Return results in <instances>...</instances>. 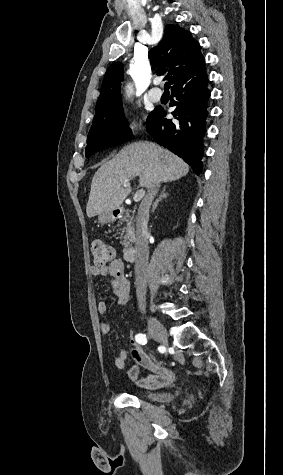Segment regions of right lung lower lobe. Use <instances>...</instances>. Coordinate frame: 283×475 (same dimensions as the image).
<instances>
[{
  "mask_svg": "<svg viewBox=\"0 0 283 475\" xmlns=\"http://www.w3.org/2000/svg\"><path fill=\"white\" fill-rule=\"evenodd\" d=\"M208 81L205 67L176 81L170 102L175 106L171 112L175 120L166 119V111L158 106L147 122V131L156 142L183 158L197 175L202 171V139L209 114Z\"/></svg>",
  "mask_w": 283,
  "mask_h": 475,
  "instance_id": "1",
  "label": "right lung lower lobe"
}]
</instances>
